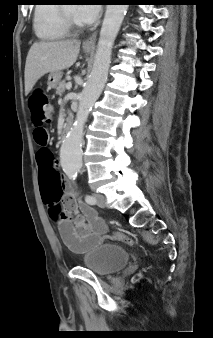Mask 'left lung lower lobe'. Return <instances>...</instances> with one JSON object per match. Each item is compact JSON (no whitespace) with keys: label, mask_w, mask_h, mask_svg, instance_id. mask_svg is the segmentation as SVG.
<instances>
[{"label":"left lung lower lobe","mask_w":213,"mask_h":338,"mask_svg":"<svg viewBox=\"0 0 213 338\" xmlns=\"http://www.w3.org/2000/svg\"><path fill=\"white\" fill-rule=\"evenodd\" d=\"M128 2H132L131 0H127Z\"/></svg>","instance_id":"left-lung-lower-lobe-1"}]
</instances>
